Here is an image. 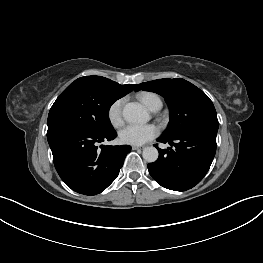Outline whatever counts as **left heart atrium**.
Returning a JSON list of instances; mask_svg holds the SVG:
<instances>
[{
	"instance_id": "left-heart-atrium-1",
	"label": "left heart atrium",
	"mask_w": 263,
	"mask_h": 263,
	"mask_svg": "<svg viewBox=\"0 0 263 263\" xmlns=\"http://www.w3.org/2000/svg\"><path fill=\"white\" fill-rule=\"evenodd\" d=\"M158 133L159 130L155 125L131 124L121 130L119 138L124 144L138 146L155 138Z\"/></svg>"
}]
</instances>
